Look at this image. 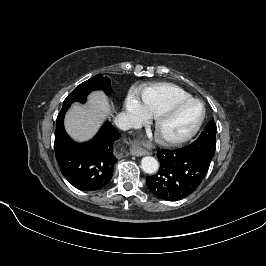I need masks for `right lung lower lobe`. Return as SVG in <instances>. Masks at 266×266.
Wrapping results in <instances>:
<instances>
[{"mask_svg": "<svg viewBox=\"0 0 266 266\" xmlns=\"http://www.w3.org/2000/svg\"><path fill=\"white\" fill-rule=\"evenodd\" d=\"M69 107H62L57 116L55 155L64 177L77 189L96 191L112 178L117 158L114 154L120 134L106 122L98 134L86 143H75L64 129L63 119Z\"/></svg>", "mask_w": 266, "mask_h": 266, "instance_id": "1", "label": "right lung lower lobe"}]
</instances>
